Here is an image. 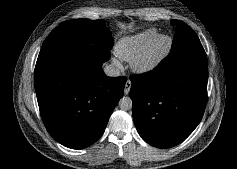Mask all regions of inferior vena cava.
<instances>
[{"instance_id":"1","label":"inferior vena cava","mask_w":237,"mask_h":169,"mask_svg":"<svg viewBox=\"0 0 237 169\" xmlns=\"http://www.w3.org/2000/svg\"><path fill=\"white\" fill-rule=\"evenodd\" d=\"M104 73L109 77H118L120 75L119 69L111 64L104 67Z\"/></svg>"}]
</instances>
